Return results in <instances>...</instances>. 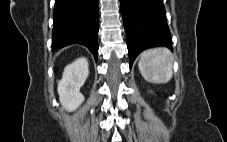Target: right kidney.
Wrapping results in <instances>:
<instances>
[{"mask_svg": "<svg viewBox=\"0 0 227 142\" xmlns=\"http://www.w3.org/2000/svg\"><path fill=\"white\" fill-rule=\"evenodd\" d=\"M88 74L89 69L86 58H78L64 69L57 90L60 102L66 110L73 111L84 101L80 88L85 83Z\"/></svg>", "mask_w": 227, "mask_h": 142, "instance_id": "ca27d5eb", "label": "right kidney"}]
</instances>
